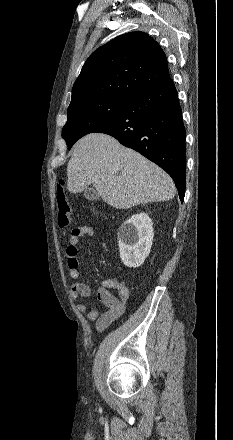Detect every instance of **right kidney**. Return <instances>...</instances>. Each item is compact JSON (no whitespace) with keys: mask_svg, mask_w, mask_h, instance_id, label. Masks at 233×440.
<instances>
[{"mask_svg":"<svg viewBox=\"0 0 233 440\" xmlns=\"http://www.w3.org/2000/svg\"><path fill=\"white\" fill-rule=\"evenodd\" d=\"M152 220L146 213L127 219L119 228L118 246L123 264L129 268L141 266L149 255L153 240Z\"/></svg>","mask_w":233,"mask_h":440,"instance_id":"ca27d5eb","label":"right kidney"}]
</instances>
